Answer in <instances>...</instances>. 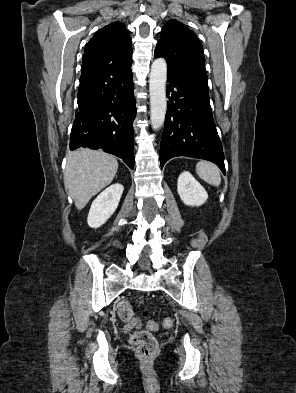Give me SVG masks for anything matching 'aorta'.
Instances as JSON below:
<instances>
[{
	"instance_id": "1",
	"label": "aorta",
	"mask_w": 296,
	"mask_h": 393,
	"mask_svg": "<svg viewBox=\"0 0 296 393\" xmlns=\"http://www.w3.org/2000/svg\"><path fill=\"white\" fill-rule=\"evenodd\" d=\"M167 63L164 58L153 61L149 79L150 119L154 130L162 127L167 109L166 100Z\"/></svg>"
}]
</instances>
